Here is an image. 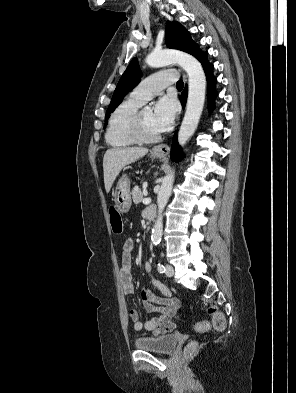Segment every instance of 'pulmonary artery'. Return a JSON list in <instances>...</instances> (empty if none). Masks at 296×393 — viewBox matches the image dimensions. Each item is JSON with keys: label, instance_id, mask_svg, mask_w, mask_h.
<instances>
[{"label": "pulmonary artery", "instance_id": "e3ab8cb5", "mask_svg": "<svg viewBox=\"0 0 296 393\" xmlns=\"http://www.w3.org/2000/svg\"><path fill=\"white\" fill-rule=\"evenodd\" d=\"M176 81L177 75L174 70L151 74L132 90L129 98L142 105L150 100L155 94Z\"/></svg>", "mask_w": 296, "mask_h": 393}]
</instances>
